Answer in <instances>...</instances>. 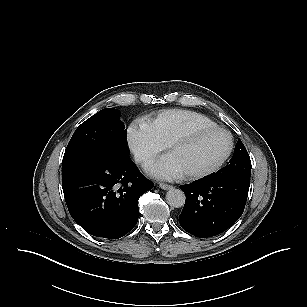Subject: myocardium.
<instances>
[{"label":"myocardium","instance_id":"f54148a6","mask_svg":"<svg viewBox=\"0 0 307 307\" xmlns=\"http://www.w3.org/2000/svg\"><path fill=\"white\" fill-rule=\"evenodd\" d=\"M211 132H222V133H225L229 137L230 145H229V149H228L227 153L224 155V157L217 164H215L214 166H212L208 169L198 171V172L183 174L182 177L185 180H197V179H201V178L207 177L209 175H212V174L218 172L226 164V162L229 160V158L231 157V155L234 152V149H235L234 136L227 129L220 127V126H217V125L211 126V127H203V128L194 129V130L186 133L185 135L177 138L176 140H174L173 142H171L170 144H168L165 147V151H166V153H168L172 150H176V149L185 147V146L189 145L190 143H192L197 138L201 137L202 135H205V134H208V133H211Z\"/></svg>","mask_w":307,"mask_h":307}]
</instances>
